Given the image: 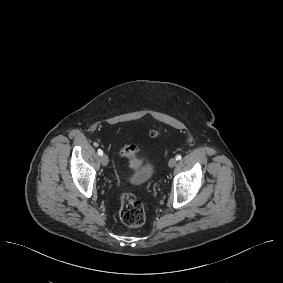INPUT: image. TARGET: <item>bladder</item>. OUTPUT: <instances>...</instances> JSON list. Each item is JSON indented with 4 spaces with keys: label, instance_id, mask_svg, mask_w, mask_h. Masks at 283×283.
<instances>
[{
    "label": "bladder",
    "instance_id": "31cf9c89",
    "mask_svg": "<svg viewBox=\"0 0 283 283\" xmlns=\"http://www.w3.org/2000/svg\"><path fill=\"white\" fill-rule=\"evenodd\" d=\"M154 173V164L153 163H142L139 162L133 171V179L134 183H141L145 180H148L152 177Z\"/></svg>",
    "mask_w": 283,
    "mask_h": 283
}]
</instances>
